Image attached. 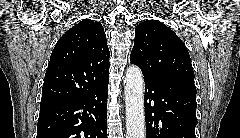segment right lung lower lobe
<instances>
[{
  "instance_id": "1",
  "label": "right lung lower lobe",
  "mask_w": 240,
  "mask_h": 138,
  "mask_svg": "<svg viewBox=\"0 0 240 138\" xmlns=\"http://www.w3.org/2000/svg\"><path fill=\"white\" fill-rule=\"evenodd\" d=\"M108 83L40 108L36 138H106Z\"/></svg>"
}]
</instances>
